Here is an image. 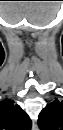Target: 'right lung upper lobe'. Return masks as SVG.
I'll return each instance as SVG.
<instances>
[{
    "label": "right lung upper lobe",
    "instance_id": "cb5924a9",
    "mask_svg": "<svg viewBox=\"0 0 63 130\" xmlns=\"http://www.w3.org/2000/svg\"><path fill=\"white\" fill-rule=\"evenodd\" d=\"M0 126L2 130H29L31 120L13 100L5 99L0 102Z\"/></svg>",
    "mask_w": 63,
    "mask_h": 130
}]
</instances>
